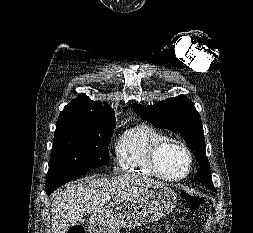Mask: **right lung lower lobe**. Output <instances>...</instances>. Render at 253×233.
<instances>
[{
  "instance_id": "obj_1",
  "label": "right lung lower lobe",
  "mask_w": 253,
  "mask_h": 233,
  "mask_svg": "<svg viewBox=\"0 0 253 233\" xmlns=\"http://www.w3.org/2000/svg\"><path fill=\"white\" fill-rule=\"evenodd\" d=\"M89 170L90 169H87V168L72 169V170H67V171H63L61 173L55 174L51 177H47V181H46L47 195H50L58 187L88 172Z\"/></svg>"
}]
</instances>
